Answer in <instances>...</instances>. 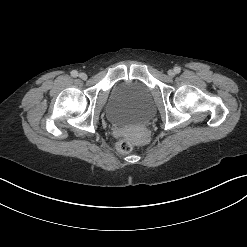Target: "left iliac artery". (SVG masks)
Returning a JSON list of instances; mask_svg holds the SVG:
<instances>
[{
    "mask_svg": "<svg viewBox=\"0 0 247 247\" xmlns=\"http://www.w3.org/2000/svg\"><path fill=\"white\" fill-rule=\"evenodd\" d=\"M174 71H175V73H180L181 68H180V67H175V68H174Z\"/></svg>",
    "mask_w": 247,
    "mask_h": 247,
    "instance_id": "left-iliac-artery-1",
    "label": "left iliac artery"
}]
</instances>
